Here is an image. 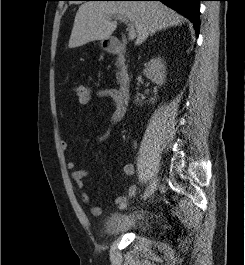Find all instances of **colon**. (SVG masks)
<instances>
[{"instance_id":"colon-1","label":"colon","mask_w":245,"mask_h":265,"mask_svg":"<svg viewBox=\"0 0 245 265\" xmlns=\"http://www.w3.org/2000/svg\"><path fill=\"white\" fill-rule=\"evenodd\" d=\"M74 95L76 97L77 102L81 106H86L91 101V91L87 85L78 84L73 88Z\"/></svg>"}]
</instances>
